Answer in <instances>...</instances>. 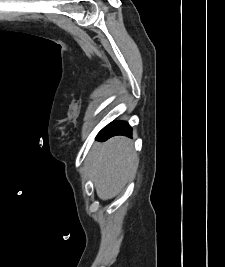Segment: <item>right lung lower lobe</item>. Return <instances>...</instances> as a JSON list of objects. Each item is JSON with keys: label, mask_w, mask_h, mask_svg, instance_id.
Masks as SVG:
<instances>
[{"label": "right lung lower lobe", "mask_w": 225, "mask_h": 267, "mask_svg": "<svg viewBox=\"0 0 225 267\" xmlns=\"http://www.w3.org/2000/svg\"><path fill=\"white\" fill-rule=\"evenodd\" d=\"M116 135L132 137V128L127 122L124 121L112 122L99 132L96 140L106 141L107 139Z\"/></svg>", "instance_id": "98d812e1"}]
</instances>
